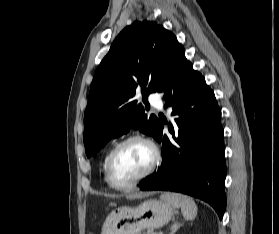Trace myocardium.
<instances>
[{"instance_id":"myocardium-1","label":"myocardium","mask_w":279,"mask_h":234,"mask_svg":"<svg viewBox=\"0 0 279 234\" xmlns=\"http://www.w3.org/2000/svg\"><path fill=\"white\" fill-rule=\"evenodd\" d=\"M134 141L142 142L151 149V151H152L151 163L149 164L147 169L142 174H140L138 177H136L132 181L126 182V183H117L113 179L112 174H111L113 160H114L116 154L118 153V151L122 147H124L128 143H131ZM160 159H161L160 151L152 140H150L149 138H147L145 136L138 135V134L128 136L125 139H123L122 141H120L118 144H116V146L109 153L107 161H106V165H105L106 180H107L108 184L115 189H118V190L129 189V188L139 184L141 181H143L147 177H149L154 172V170L156 169L158 164L160 163Z\"/></svg>"}]
</instances>
